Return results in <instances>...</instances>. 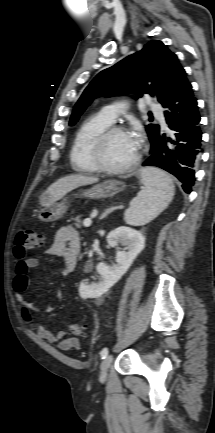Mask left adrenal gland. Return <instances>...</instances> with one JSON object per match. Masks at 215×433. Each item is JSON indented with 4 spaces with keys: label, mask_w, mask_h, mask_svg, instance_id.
I'll use <instances>...</instances> for the list:
<instances>
[{
    "label": "left adrenal gland",
    "mask_w": 215,
    "mask_h": 433,
    "mask_svg": "<svg viewBox=\"0 0 215 433\" xmlns=\"http://www.w3.org/2000/svg\"><path fill=\"white\" fill-rule=\"evenodd\" d=\"M122 206H115V207H111L109 209H107L102 216L100 217V219H104L108 214H110L111 212H113L114 210L120 209Z\"/></svg>",
    "instance_id": "a2214340"
}]
</instances>
